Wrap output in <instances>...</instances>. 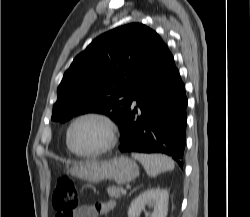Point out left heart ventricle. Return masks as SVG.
<instances>
[{
  "label": "left heart ventricle",
  "mask_w": 250,
  "mask_h": 217,
  "mask_svg": "<svg viewBox=\"0 0 250 217\" xmlns=\"http://www.w3.org/2000/svg\"><path fill=\"white\" fill-rule=\"evenodd\" d=\"M106 140L105 126L96 119H84L78 122L71 134L73 146L82 152L94 151Z\"/></svg>",
  "instance_id": "left-heart-ventricle-1"
}]
</instances>
